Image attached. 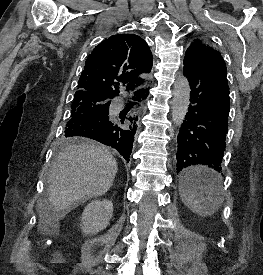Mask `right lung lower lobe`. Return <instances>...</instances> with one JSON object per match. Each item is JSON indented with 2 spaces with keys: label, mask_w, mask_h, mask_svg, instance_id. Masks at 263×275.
I'll list each match as a JSON object with an SVG mask.
<instances>
[{
  "label": "right lung lower lobe",
  "mask_w": 263,
  "mask_h": 275,
  "mask_svg": "<svg viewBox=\"0 0 263 275\" xmlns=\"http://www.w3.org/2000/svg\"><path fill=\"white\" fill-rule=\"evenodd\" d=\"M148 89L136 91L134 100L141 101L148 96ZM137 117L102 115L86 116L72 124L66 126L65 135L72 137H87L107 146L116 149L129 162V156L132 152L136 125L130 126V129L122 127L121 124L130 121L135 123Z\"/></svg>",
  "instance_id": "right-lung-lower-lobe-1"
}]
</instances>
